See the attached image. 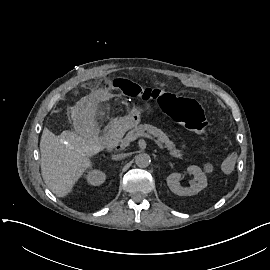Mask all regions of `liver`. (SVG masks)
I'll return each instance as SVG.
<instances>
[{
    "mask_svg": "<svg viewBox=\"0 0 270 270\" xmlns=\"http://www.w3.org/2000/svg\"><path fill=\"white\" fill-rule=\"evenodd\" d=\"M41 172L48 188L58 197L66 196L84 170L91 166L93 147L86 144H64L44 128L41 140Z\"/></svg>",
    "mask_w": 270,
    "mask_h": 270,
    "instance_id": "6515ba94",
    "label": "liver"
}]
</instances>
